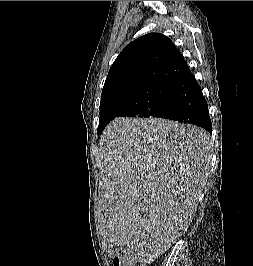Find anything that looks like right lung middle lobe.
I'll list each match as a JSON object with an SVG mask.
<instances>
[{
  "mask_svg": "<svg viewBox=\"0 0 253 266\" xmlns=\"http://www.w3.org/2000/svg\"><path fill=\"white\" fill-rule=\"evenodd\" d=\"M172 84L157 83L123 93L100 104L98 134L120 116L159 117L168 104Z\"/></svg>",
  "mask_w": 253,
  "mask_h": 266,
  "instance_id": "obj_1",
  "label": "right lung middle lobe"
}]
</instances>
